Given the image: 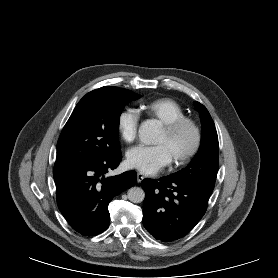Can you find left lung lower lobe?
I'll return each mask as SVG.
<instances>
[{"mask_svg": "<svg viewBox=\"0 0 278 278\" xmlns=\"http://www.w3.org/2000/svg\"><path fill=\"white\" fill-rule=\"evenodd\" d=\"M143 224L156 239L171 242L185 236L206 212L214 187L165 176L144 179Z\"/></svg>", "mask_w": 278, "mask_h": 278, "instance_id": "left-lung-lower-lobe-1", "label": "left lung lower lobe"}]
</instances>
